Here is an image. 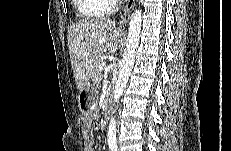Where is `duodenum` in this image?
I'll return each instance as SVG.
<instances>
[{"instance_id": "1", "label": "duodenum", "mask_w": 231, "mask_h": 151, "mask_svg": "<svg viewBox=\"0 0 231 151\" xmlns=\"http://www.w3.org/2000/svg\"><path fill=\"white\" fill-rule=\"evenodd\" d=\"M110 96L106 95L105 100H104V105H103V114L104 116H107L109 113L110 109Z\"/></svg>"}]
</instances>
